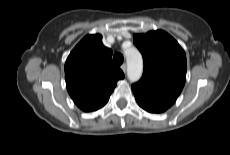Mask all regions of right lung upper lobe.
I'll list each match as a JSON object with an SVG mask.
<instances>
[{
    "mask_svg": "<svg viewBox=\"0 0 230 155\" xmlns=\"http://www.w3.org/2000/svg\"><path fill=\"white\" fill-rule=\"evenodd\" d=\"M112 50L102 43L100 34L85 36L72 50L65 63L68 93L83 111L103 107L117 81L124 78L122 70L112 62Z\"/></svg>",
    "mask_w": 230,
    "mask_h": 155,
    "instance_id": "cb5924a9",
    "label": "right lung upper lobe"
}]
</instances>
